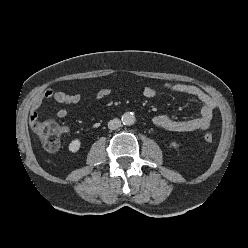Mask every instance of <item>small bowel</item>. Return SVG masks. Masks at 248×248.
<instances>
[{"label": "small bowel", "instance_id": "obj_1", "mask_svg": "<svg viewBox=\"0 0 248 248\" xmlns=\"http://www.w3.org/2000/svg\"><path fill=\"white\" fill-rule=\"evenodd\" d=\"M162 87L166 90L175 93H182L196 98L201 104L200 115L190 120H174L167 115L159 114L152 118L153 124L167 132H194L207 130L210 127L213 112L215 110V101L202 89L197 86L184 83H165ZM111 93L109 88L100 89L94 96L95 101H101L107 98ZM158 94L157 88L154 86H146L143 90V95L146 98H155ZM44 100H52L62 107L56 112L58 118H65L68 114L66 106L77 104L81 101V94L66 93L62 91H54L47 89L37 96L31 103L30 108V123L34 125L38 121L39 110L41 109ZM67 129L64 128V131Z\"/></svg>", "mask_w": 248, "mask_h": 248}]
</instances>
